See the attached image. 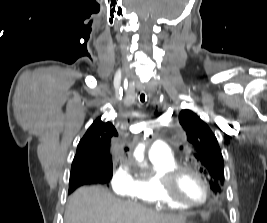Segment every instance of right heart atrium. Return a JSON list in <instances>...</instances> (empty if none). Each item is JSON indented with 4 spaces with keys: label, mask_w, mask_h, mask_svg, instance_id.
Masks as SVG:
<instances>
[{
    "label": "right heart atrium",
    "mask_w": 267,
    "mask_h": 223,
    "mask_svg": "<svg viewBox=\"0 0 267 223\" xmlns=\"http://www.w3.org/2000/svg\"><path fill=\"white\" fill-rule=\"evenodd\" d=\"M110 185L112 190L119 195L127 194L131 190L133 177L127 164L121 163L113 170Z\"/></svg>",
    "instance_id": "d8ad5b80"
}]
</instances>
